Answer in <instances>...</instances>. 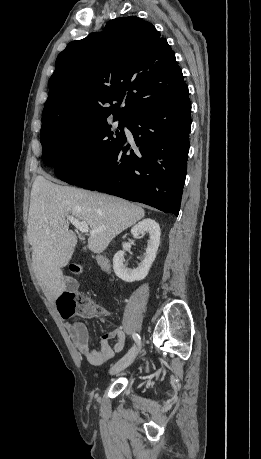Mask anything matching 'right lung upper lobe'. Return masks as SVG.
Here are the masks:
<instances>
[{"instance_id": "1", "label": "right lung upper lobe", "mask_w": 261, "mask_h": 459, "mask_svg": "<svg viewBox=\"0 0 261 459\" xmlns=\"http://www.w3.org/2000/svg\"><path fill=\"white\" fill-rule=\"evenodd\" d=\"M184 85L173 50L152 24L134 16L115 19L58 55L41 133L105 121L111 114L128 120L172 98Z\"/></svg>"}]
</instances>
